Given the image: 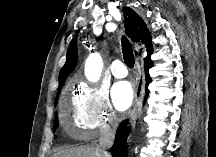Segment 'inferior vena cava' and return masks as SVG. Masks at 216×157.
<instances>
[{"instance_id":"inferior-vena-cava-1","label":"inferior vena cava","mask_w":216,"mask_h":157,"mask_svg":"<svg viewBox=\"0 0 216 157\" xmlns=\"http://www.w3.org/2000/svg\"><path fill=\"white\" fill-rule=\"evenodd\" d=\"M114 141V133L110 130H104L99 139V147L100 151L103 153L104 157H109V154L107 153L106 149H109Z\"/></svg>"}]
</instances>
